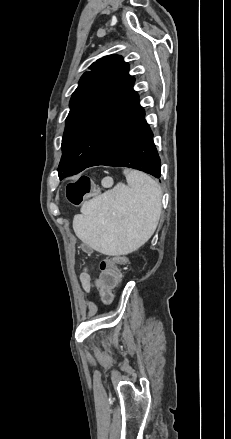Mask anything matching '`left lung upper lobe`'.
Segmentation results:
<instances>
[{"mask_svg":"<svg viewBox=\"0 0 231 439\" xmlns=\"http://www.w3.org/2000/svg\"><path fill=\"white\" fill-rule=\"evenodd\" d=\"M89 68L70 100L58 167L60 180L86 168L138 100L129 65L121 56H105Z\"/></svg>","mask_w":231,"mask_h":439,"instance_id":"obj_1","label":"left lung upper lobe"}]
</instances>
